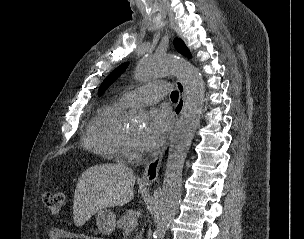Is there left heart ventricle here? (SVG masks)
<instances>
[{
  "mask_svg": "<svg viewBox=\"0 0 304 239\" xmlns=\"http://www.w3.org/2000/svg\"><path fill=\"white\" fill-rule=\"evenodd\" d=\"M135 141L141 135V130H132L128 133Z\"/></svg>",
  "mask_w": 304,
  "mask_h": 239,
  "instance_id": "b2bd125f",
  "label": "left heart ventricle"
}]
</instances>
